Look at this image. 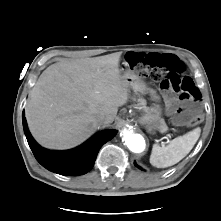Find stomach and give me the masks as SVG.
<instances>
[{
	"mask_svg": "<svg viewBox=\"0 0 221 221\" xmlns=\"http://www.w3.org/2000/svg\"><path fill=\"white\" fill-rule=\"evenodd\" d=\"M123 80L128 84L129 88L136 92L148 93L150 88L147 84L135 74V72L128 68L122 75ZM162 107L159 104H153L148 110L147 114L140 117L139 122L147 128L148 132L152 133L156 130L165 131L162 126ZM164 121V120H163Z\"/></svg>",
	"mask_w": 221,
	"mask_h": 221,
	"instance_id": "stomach-1",
	"label": "stomach"
}]
</instances>
